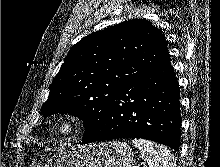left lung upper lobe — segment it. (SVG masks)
Here are the masks:
<instances>
[{
  "mask_svg": "<svg viewBox=\"0 0 220 167\" xmlns=\"http://www.w3.org/2000/svg\"><path fill=\"white\" fill-rule=\"evenodd\" d=\"M169 57L162 31L145 19H132L89 34L67 54L41 107L44 117L81 118L83 140L100 129L120 88Z\"/></svg>",
  "mask_w": 220,
  "mask_h": 167,
  "instance_id": "obj_1",
  "label": "left lung upper lobe"
}]
</instances>
